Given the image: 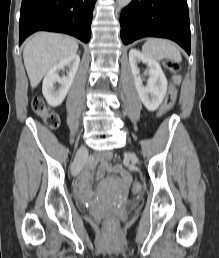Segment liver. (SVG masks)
Instances as JSON below:
<instances>
[{"label":"liver","mask_w":219,"mask_h":258,"mask_svg":"<svg viewBox=\"0 0 219 258\" xmlns=\"http://www.w3.org/2000/svg\"><path fill=\"white\" fill-rule=\"evenodd\" d=\"M77 50V41L68 36L39 32L30 37L23 60L31 87L35 88L54 65L75 55Z\"/></svg>","instance_id":"obj_1"}]
</instances>
